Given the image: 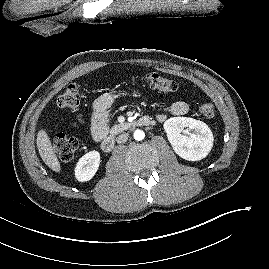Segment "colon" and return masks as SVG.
Returning a JSON list of instances; mask_svg holds the SVG:
<instances>
[{"label": "colon", "instance_id": "1", "mask_svg": "<svg viewBox=\"0 0 269 269\" xmlns=\"http://www.w3.org/2000/svg\"><path fill=\"white\" fill-rule=\"evenodd\" d=\"M146 84L153 89L164 93H174L179 90V85L175 81L166 78L158 73H148L145 76ZM80 105V88L77 84H70L57 99V106L62 111L74 112ZM198 112L205 118H211L214 115V107L211 103H203L198 107ZM79 143L75 138L64 134H58L53 141V148L59 158L63 161L71 160Z\"/></svg>", "mask_w": 269, "mask_h": 269}]
</instances>
